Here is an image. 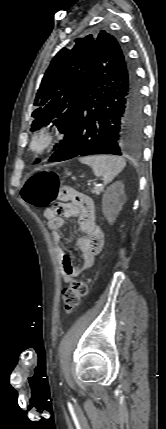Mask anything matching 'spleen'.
<instances>
[{
    "mask_svg": "<svg viewBox=\"0 0 166 429\" xmlns=\"http://www.w3.org/2000/svg\"><path fill=\"white\" fill-rule=\"evenodd\" d=\"M83 164L90 166L97 177H102L103 183H110L126 166L123 158L113 155H93L79 159Z\"/></svg>",
    "mask_w": 166,
    "mask_h": 429,
    "instance_id": "obj_1",
    "label": "spleen"
}]
</instances>
